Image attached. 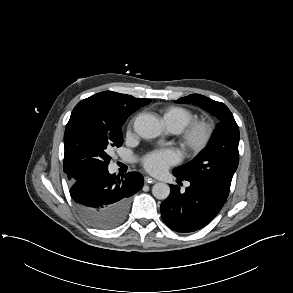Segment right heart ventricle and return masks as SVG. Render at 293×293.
<instances>
[{"instance_id": "obj_1", "label": "right heart ventricle", "mask_w": 293, "mask_h": 293, "mask_svg": "<svg viewBox=\"0 0 293 293\" xmlns=\"http://www.w3.org/2000/svg\"><path fill=\"white\" fill-rule=\"evenodd\" d=\"M162 122L166 128L178 133L196 118V114L183 106H168L161 110Z\"/></svg>"}]
</instances>
